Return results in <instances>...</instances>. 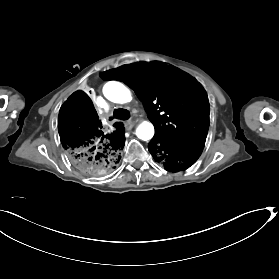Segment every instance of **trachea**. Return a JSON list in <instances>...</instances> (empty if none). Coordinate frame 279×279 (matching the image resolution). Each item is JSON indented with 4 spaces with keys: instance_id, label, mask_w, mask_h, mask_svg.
Listing matches in <instances>:
<instances>
[{
    "instance_id": "trachea-1",
    "label": "trachea",
    "mask_w": 279,
    "mask_h": 279,
    "mask_svg": "<svg viewBox=\"0 0 279 279\" xmlns=\"http://www.w3.org/2000/svg\"><path fill=\"white\" fill-rule=\"evenodd\" d=\"M130 117V112L127 109H116L113 112V116L109 118V120L120 119L127 120Z\"/></svg>"
}]
</instances>
